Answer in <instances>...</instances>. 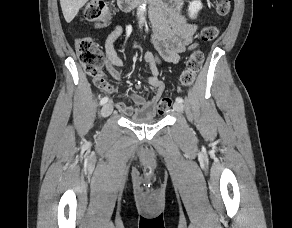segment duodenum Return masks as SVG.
Wrapping results in <instances>:
<instances>
[{
    "mask_svg": "<svg viewBox=\"0 0 292 228\" xmlns=\"http://www.w3.org/2000/svg\"><path fill=\"white\" fill-rule=\"evenodd\" d=\"M144 0H118V5L122 11L128 12L135 8L137 5L141 4ZM160 0H148L151 6L159 3Z\"/></svg>",
    "mask_w": 292,
    "mask_h": 228,
    "instance_id": "duodenum-1",
    "label": "duodenum"
}]
</instances>
